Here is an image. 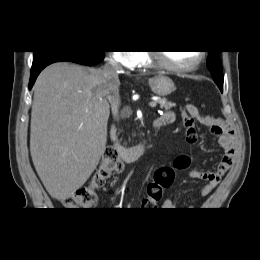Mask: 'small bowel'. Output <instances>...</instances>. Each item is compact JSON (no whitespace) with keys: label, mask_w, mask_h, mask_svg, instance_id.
Here are the masks:
<instances>
[{"label":"small bowel","mask_w":260,"mask_h":260,"mask_svg":"<svg viewBox=\"0 0 260 260\" xmlns=\"http://www.w3.org/2000/svg\"><path fill=\"white\" fill-rule=\"evenodd\" d=\"M159 120L162 125H168L175 121V115L173 112L166 111L161 115ZM195 120L210 128L211 132L218 137V143L224 150L222 160L214 171L191 170L189 172L191 178L207 181L200 191V196L205 197L220 183L221 179L234 162L236 152V131L231 123L219 118L202 116L198 113ZM142 206L144 208H154L156 207V204L146 201V198H144ZM161 208L164 210H175L176 206L171 199H165L161 202Z\"/></svg>","instance_id":"1"}]
</instances>
